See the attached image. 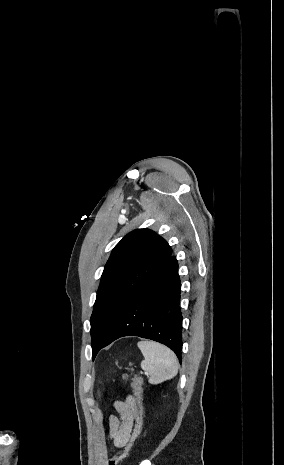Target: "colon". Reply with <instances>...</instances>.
I'll return each mask as SVG.
<instances>
[{
  "mask_svg": "<svg viewBox=\"0 0 284 465\" xmlns=\"http://www.w3.org/2000/svg\"><path fill=\"white\" fill-rule=\"evenodd\" d=\"M131 377L129 373L122 374L120 376H117L114 378V380H127ZM132 389L136 398V406L138 409V417L135 421V427L133 430L132 435L129 437V439L126 441V443L122 446L123 453H117L116 457H114V462H108V465H124V462H129L130 458L133 457V454L135 453L134 449H131L135 446V444L138 442V434L141 430V424H142V415H143V408L141 404V399L143 395V388H142V378L139 375H133L132 376ZM122 452V451H121ZM127 454V457H126Z\"/></svg>",
  "mask_w": 284,
  "mask_h": 465,
  "instance_id": "colon-1",
  "label": "colon"
}]
</instances>
